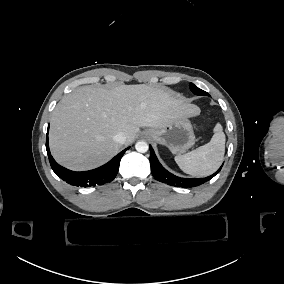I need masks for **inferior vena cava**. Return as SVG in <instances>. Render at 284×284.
I'll return each instance as SVG.
<instances>
[{"instance_id":"602c4592","label":"inferior vena cava","mask_w":284,"mask_h":284,"mask_svg":"<svg viewBox=\"0 0 284 284\" xmlns=\"http://www.w3.org/2000/svg\"><path fill=\"white\" fill-rule=\"evenodd\" d=\"M113 140L116 143L123 144L126 140V136L122 132H119L116 135H114Z\"/></svg>"}]
</instances>
